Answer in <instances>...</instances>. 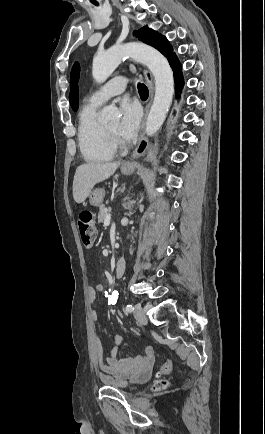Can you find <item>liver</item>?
Segmentation results:
<instances>
[{
	"instance_id": "6515ba94",
	"label": "liver",
	"mask_w": 265,
	"mask_h": 434,
	"mask_svg": "<svg viewBox=\"0 0 265 434\" xmlns=\"http://www.w3.org/2000/svg\"><path fill=\"white\" fill-rule=\"evenodd\" d=\"M119 166L120 162H112V164L89 162V164L79 166L73 180V198L75 202L82 204L88 198L95 184L113 176Z\"/></svg>"
}]
</instances>
